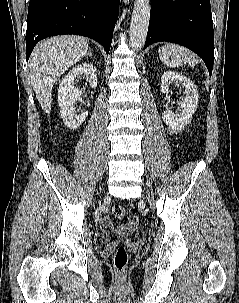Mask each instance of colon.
Wrapping results in <instances>:
<instances>
[{"label":"colon","mask_w":239,"mask_h":303,"mask_svg":"<svg viewBox=\"0 0 239 303\" xmlns=\"http://www.w3.org/2000/svg\"><path fill=\"white\" fill-rule=\"evenodd\" d=\"M113 215L118 219H123L125 216V209L122 206H115L113 208ZM128 262V253L123 245H120L114 255V266L118 271H123Z\"/></svg>","instance_id":"colon-1"}]
</instances>
